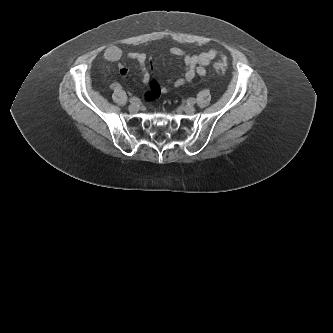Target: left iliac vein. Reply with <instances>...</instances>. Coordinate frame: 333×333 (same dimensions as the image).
Segmentation results:
<instances>
[{
	"instance_id": "left-iliac-vein-1",
	"label": "left iliac vein",
	"mask_w": 333,
	"mask_h": 333,
	"mask_svg": "<svg viewBox=\"0 0 333 333\" xmlns=\"http://www.w3.org/2000/svg\"><path fill=\"white\" fill-rule=\"evenodd\" d=\"M183 110L187 113V114H193L196 109L193 105L187 104L183 107Z\"/></svg>"
}]
</instances>
